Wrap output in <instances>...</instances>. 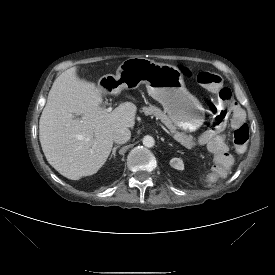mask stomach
Wrapping results in <instances>:
<instances>
[{
	"mask_svg": "<svg viewBox=\"0 0 275 275\" xmlns=\"http://www.w3.org/2000/svg\"><path fill=\"white\" fill-rule=\"evenodd\" d=\"M145 84L148 94L158 101L175 126L194 132L205 121L201 102L185 87L180 69L176 66L155 63L146 58H129L122 62L116 74L102 76L98 89L116 94L122 89H134Z\"/></svg>",
	"mask_w": 275,
	"mask_h": 275,
	"instance_id": "stomach-1",
	"label": "stomach"
}]
</instances>
